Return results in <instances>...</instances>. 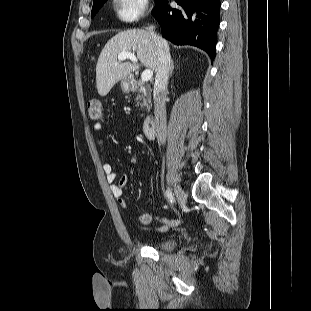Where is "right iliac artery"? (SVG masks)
Instances as JSON below:
<instances>
[{"label": "right iliac artery", "mask_w": 311, "mask_h": 311, "mask_svg": "<svg viewBox=\"0 0 311 311\" xmlns=\"http://www.w3.org/2000/svg\"><path fill=\"white\" fill-rule=\"evenodd\" d=\"M165 194L167 198L171 201V203H175L174 194L170 190H166Z\"/></svg>", "instance_id": "1"}]
</instances>
